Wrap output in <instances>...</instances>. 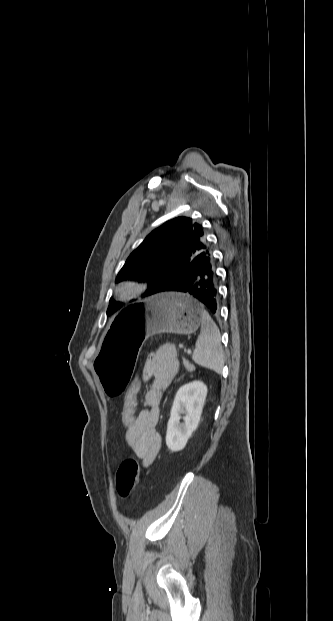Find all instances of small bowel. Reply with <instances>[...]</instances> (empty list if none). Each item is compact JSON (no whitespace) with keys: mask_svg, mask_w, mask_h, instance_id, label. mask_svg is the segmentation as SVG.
I'll list each match as a JSON object with an SVG mask.
<instances>
[{"mask_svg":"<svg viewBox=\"0 0 333 621\" xmlns=\"http://www.w3.org/2000/svg\"><path fill=\"white\" fill-rule=\"evenodd\" d=\"M177 371L178 361L172 346H162L150 355L144 372L148 389L143 407L126 431V442L144 467L150 466L159 453L161 436L156 426L160 416L161 395L171 384Z\"/></svg>","mask_w":333,"mask_h":621,"instance_id":"1","label":"small bowel"}]
</instances>
